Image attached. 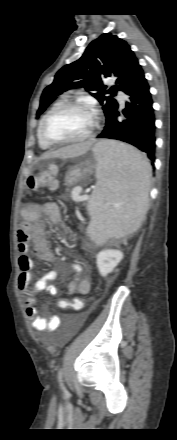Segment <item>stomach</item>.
I'll return each mask as SVG.
<instances>
[{"label": "stomach", "mask_w": 177, "mask_h": 440, "mask_svg": "<svg viewBox=\"0 0 177 440\" xmlns=\"http://www.w3.org/2000/svg\"><path fill=\"white\" fill-rule=\"evenodd\" d=\"M94 168L95 165H93L90 160H86L82 164L71 167L65 177L66 185H73L79 180L85 178L93 171Z\"/></svg>", "instance_id": "stomach-1"}]
</instances>
